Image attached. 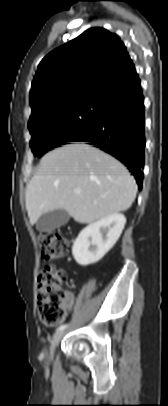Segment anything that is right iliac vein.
Listing matches in <instances>:
<instances>
[{
	"instance_id": "obj_1",
	"label": "right iliac vein",
	"mask_w": 168,
	"mask_h": 406,
	"mask_svg": "<svg viewBox=\"0 0 168 406\" xmlns=\"http://www.w3.org/2000/svg\"><path fill=\"white\" fill-rule=\"evenodd\" d=\"M63 334H64V331H63V330H62V331H57V332L54 334V336H53V338H52V340H51L50 348H49V356H50V357H53L55 348H56L57 345L59 344V342H60V340H61Z\"/></svg>"
}]
</instances>
